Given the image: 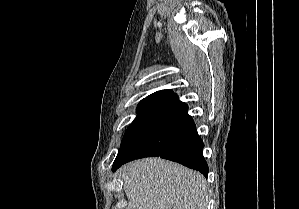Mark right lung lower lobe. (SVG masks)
<instances>
[{
	"label": "right lung lower lobe",
	"instance_id": "obj_1",
	"mask_svg": "<svg viewBox=\"0 0 299 209\" xmlns=\"http://www.w3.org/2000/svg\"><path fill=\"white\" fill-rule=\"evenodd\" d=\"M187 110V104L175 94L160 104L120 150L112 171L135 159L160 156L198 170L207 177L204 144Z\"/></svg>",
	"mask_w": 299,
	"mask_h": 209
}]
</instances>
